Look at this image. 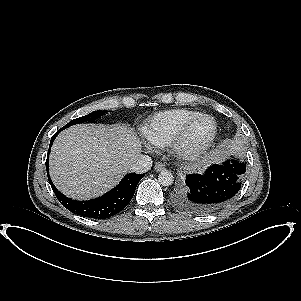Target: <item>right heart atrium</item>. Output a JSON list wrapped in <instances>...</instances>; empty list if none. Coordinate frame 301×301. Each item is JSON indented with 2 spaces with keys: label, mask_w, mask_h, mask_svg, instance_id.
Segmentation results:
<instances>
[{
  "label": "right heart atrium",
  "mask_w": 301,
  "mask_h": 301,
  "mask_svg": "<svg viewBox=\"0 0 301 301\" xmlns=\"http://www.w3.org/2000/svg\"><path fill=\"white\" fill-rule=\"evenodd\" d=\"M145 147L149 148V146L147 144H145Z\"/></svg>",
  "instance_id": "1"
}]
</instances>
